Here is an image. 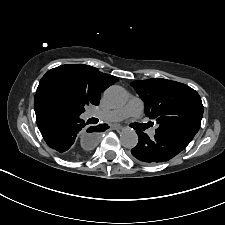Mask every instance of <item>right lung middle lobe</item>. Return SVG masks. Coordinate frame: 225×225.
<instances>
[{"label": "right lung middle lobe", "mask_w": 225, "mask_h": 225, "mask_svg": "<svg viewBox=\"0 0 225 225\" xmlns=\"http://www.w3.org/2000/svg\"><path fill=\"white\" fill-rule=\"evenodd\" d=\"M40 96L75 113L81 114L88 105L83 96L61 81H50L40 88Z\"/></svg>", "instance_id": "right-lung-middle-lobe-1"}]
</instances>
